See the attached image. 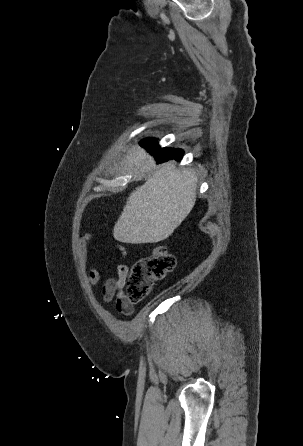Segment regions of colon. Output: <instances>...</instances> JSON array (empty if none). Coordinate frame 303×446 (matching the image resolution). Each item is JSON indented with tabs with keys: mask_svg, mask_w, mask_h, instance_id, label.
I'll list each match as a JSON object with an SVG mask.
<instances>
[{
	"mask_svg": "<svg viewBox=\"0 0 303 446\" xmlns=\"http://www.w3.org/2000/svg\"><path fill=\"white\" fill-rule=\"evenodd\" d=\"M176 260L164 246L154 248L151 255L137 260L126 280L125 298L129 304L143 301L155 282L162 280L175 268Z\"/></svg>",
	"mask_w": 303,
	"mask_h": 446,
	"instance_id": "colon-1",
	"label": "colon"
}]
</instances>
